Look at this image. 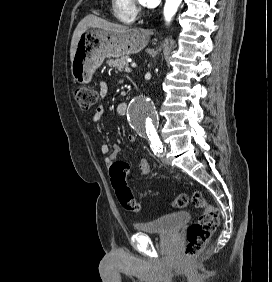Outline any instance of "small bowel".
<instances>
[{
	"label": "small bowel",
	"mask_w": 272,
	"mask_h": 282,
	"mask_svg": "<svg viewBox=\"0 0 272 282\" xmlns=\"http://www.w3.org/2000/svg\"><path fill=\"white\" fill-rule=\"evenodd\" d=\"M107 93H108V84L106 82H101L100 83V90H99L101 102H100V104L98 105V107L96 108V110L93 114V117H92L93 122H98L100 117L102 116V114L104 112L103 99L105 98ZM128 140L130 142H134V141H136V137L134 135H130L128 137ZM101 151L105 155V158H104L105 163L108 166H110L116 160L117 155L120 152V147H119L118 144H113L112 152L109 154V146L107 144H103L101 146ZM123 165H124L125 169L128 168L127 163H123ZM138 167H139V170H140L142 175H146V174H149L151 172V168L149 166V163L145 159H142V160L139 161Z\"/></svg>",
	"instance_id": "obj_1"
}]
</instances>
